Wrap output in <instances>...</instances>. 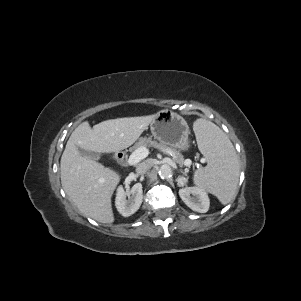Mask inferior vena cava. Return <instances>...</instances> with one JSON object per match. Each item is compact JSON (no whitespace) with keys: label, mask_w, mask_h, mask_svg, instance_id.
<instances>
[{"label":"inferior vena cava","mask_w":301,"mask_h":301,"mask_svg":"<svg viewBox=\"0 0 301 301\" xmlns=\"http://www.w3.org/2000/svg\"><path fill=\"white\" fill-rule=\"evenodd\" d=\"M151 168L150 161L146 160L141 163H139L136 167L137 174H144Z\"/></svg>","instance_id":"obj_1"}]
</instances>
